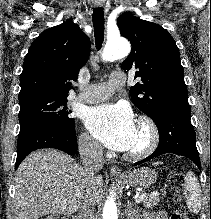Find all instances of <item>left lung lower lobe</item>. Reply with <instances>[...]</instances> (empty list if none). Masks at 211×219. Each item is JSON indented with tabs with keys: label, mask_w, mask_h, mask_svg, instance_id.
<instances>
[{
	"label": "left lung lower lobe",
	"mask_w": 211,
	"mask_h": 219,
	"mask_svg": "<svg viewBox=\"0 0 211 219\" xmlns=\"http://www.w3.org/2000/svg\"><path fill=\"white\" fill-rule=\"evenodd\" d=\"M190 117L189 105H171L162 109L154 120L159 131V145L153 154L134 165L144 163L165 153H174L189 158L200 169L195 131Z\"/></svg>",
	"instance_id": "1"
}]
</instances>
